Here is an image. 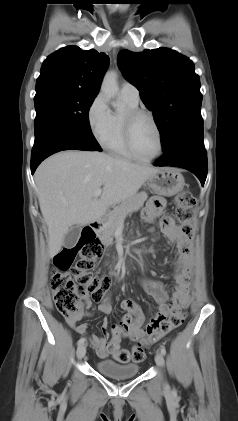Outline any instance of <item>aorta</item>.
<instances>
[{"instance_id":"1","label":"aorta","mask_w":238,"mask_h":421,"mask_svg":"<svg viewBox=\"0 0 238 421\" xmlns=\"http://www.w3.org/2000/svg\"><path fill=\"white\" fill-rule=\"evenodd\" d=\"M101 91L106 95L108 98H114L118 93V83H117V74L114 71H109L105 74L102 85ZM114 106H118V104H113Z\"/></svg>"}]
</instances>
